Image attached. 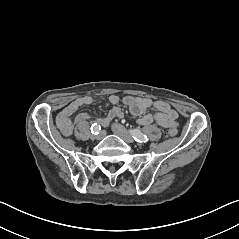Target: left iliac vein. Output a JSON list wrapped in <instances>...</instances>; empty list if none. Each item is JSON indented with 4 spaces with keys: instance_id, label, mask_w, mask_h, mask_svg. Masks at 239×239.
I'll return each instance as SVG.
<instances>
[{
    "instance_id": "1",
    "label": "left iliac vein",
    "mask_w": 239,
    "mask_h": 239,
    "mask_svg": "<svg viewBox=\"0 0 239 239\" xmlns=\"http://www.w3.org/2000/svg\"><path fill=\"white\" fill-rule=\"evenodd\" d=\"M112 131L119 136L120 138H122L124 141L128 142V143H132L134 142L133 137L131 136V134L120 124L114 123L112 124Z\"/></svg>"
}]
</instances>
